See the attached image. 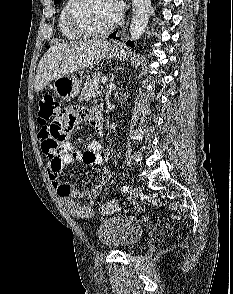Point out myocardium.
Wrapping results in <instances>:
<instances>
[{
  "instance_id": "1",
  "label": "myocardium",
  "mask_w": 233,
  "mask_h": 294,
  "mask_svg": "<svg viewBox=\"0 0 233 294\" xmlns=\"http://www.w3.org/2000/svg\"><path fill=\"white\" fill-rule=\"evenodd\" d=\"M88 0H74L69 11V23L71 27L83 37L97 38L102 37L112 32L121 22V16L117 18L106 28L99 31H92L84 26L81 21L80 13Z\"/></svg>"
}]
</instances>
